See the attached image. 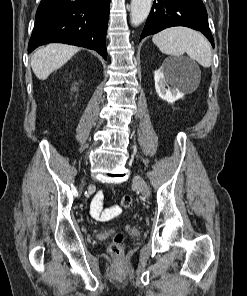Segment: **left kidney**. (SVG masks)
<instances>
[{
  "instance_id": "1",
  "label": "left kidney",
  "mask_w": 247,
  "mask_h": 296,
  "mask_svg": "<svg viewBox=\"0 0 247 296\" xmlns=\"http://www.w3.org/2000/svg\"><path fill=\"white\" fill-rule=\"evenodd\" d=\"M154 80L158 96L169 103L183 98L185 92L182 88L195 82L188 66L180 59H166L154 72ZM168 83L174 87H168Z\"/></svg>"
}]
</instances>
